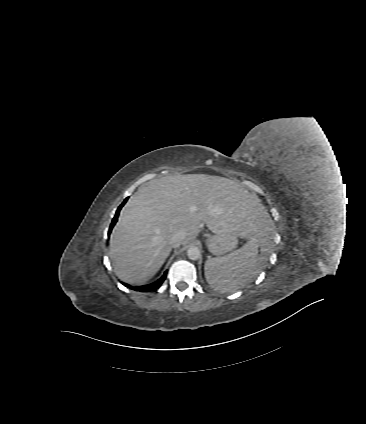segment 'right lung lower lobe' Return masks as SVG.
Returning <instances> with one entry per match:
<instances>
[{"label": "right lung lower lobe", "mask_w": 366, "mask_h": 424, "mask_svg": "<svg viewBox=\"0 0 366 424\" xmlns=\"http://www.w3.org/2000/svg\"><path fill=\"white\" fill-rule=\"evenodd\" d=\"M127 199H128V198H126V199L124 200V202H123V203L119 206V208H118V210H117V212H116V214H115V216H114V218H113V220H112V223H111V226H110V230H109V232H108V235L110 234V232H111V230H112L113 226L115 225V223H116V221H117V218H118V215H119V212H120V210H121L122 206L126 203ZM165 277H166V272H165V273H164V275L161 277V279H159L157 282H155V283H153V284H150V285L142 286V287H131V286L126 285V284H124V283H123V284H124L125 286L130 287L131 289H133V290H137V291H142V292H144V291H153V290H156L157 288H159V287H160V285H161V284H162V282L164 281Z\"/></svg>", "instance_id": "1"}]
</instances>
